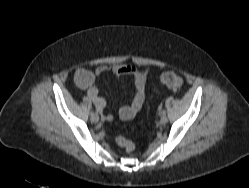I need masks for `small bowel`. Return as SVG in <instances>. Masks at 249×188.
<instances>
[{"instance_id": "1", "label": "small bowel", "mask_w": 249, "mask_h": 188, "mask_svg": "<svg viewBox=\"0 0 249 188\" xmlns=\"http://www.w3.org/2000/svg\"><path fill=\"white\" fill-rule=\"evenodd\" d=\"M112 72L117 77L128 76L135 85V92L130 105H123L119 109V115L122 119L133 118L142 108L145 101L146 80L149 73L148 68H139L133 65L117 64L114 66L101 65L95 73L85 69H78L75 73V82L77 86L86 91L87 97L92 101L96 110L101 115L106 107V101L98 95V89L95 85V79H101L106 73ZM107 121L113 119L112 115H102Z\"/></svg>"}]
</instances>
